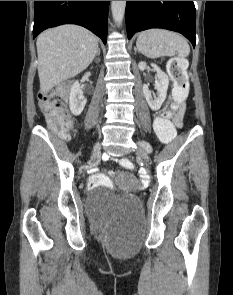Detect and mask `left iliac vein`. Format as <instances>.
<instances>
[{
	"label": "left iliac vein",
	"instance_id": "4c4485c4",
	"mask_svg": "<svg viewBox=\"0 0 233 295\" xmlns=\"http://www.w3.org/2000/svg\"><path fill=\"white\" fill-rule=\"evenodd\" d=\"M144 141H140L138 142V147L136 149V154L142 158L146 163H149V156L146 152V150L142 147Z\"/></svg>",
	"mask_w": 233,
	"mask_h": 295
}]
</instances>
